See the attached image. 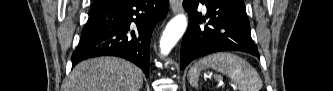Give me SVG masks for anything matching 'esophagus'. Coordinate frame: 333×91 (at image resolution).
<instances>
[{
    "instance_id": "obj_1",
    "label": "esophagus",
    "mask_w": 333,
    "mask_h": 91,
    "mask_svg": "<svg viewBox=\"0 0 333 91\" xmlns=\"http://www.w3.org/2000/svg\"><path fill=\"white\" fill-rule=\"evenodd\" d=\"M171 11L173 14L182 12V0H170Z\"/></svg>"
}]
</instances>
